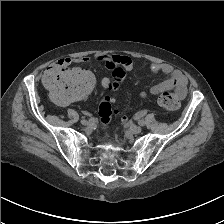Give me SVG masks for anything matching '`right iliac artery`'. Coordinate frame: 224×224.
Segmentation results:
<instances>
[{"label":"right iliac artery","mask_w":224,"mask_h":224,"mask_svg":"<svg viewBox=\"0 0 224 224\" xmlns=\"http://www.w3.org/2000/svg\"><path fill=\"white\" fill-rule=\"evenodd\" d=\"M89 122H90V123H95V118H90V119H89Z\"/></svg>","instance_id":"right-iliac-artery-1"}]
</instances>
